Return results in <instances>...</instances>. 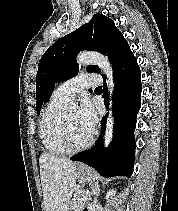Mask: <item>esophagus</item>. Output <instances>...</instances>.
I'll return each instance as SVG.
<instances>
[{
  "instance_id": "34e87169",
  "label": "esophagus",
  "mask_w": 178,
  "mask_h": 211,
  "mask_svg": "<svg viewBox=\"0 0 178 211\" xmlns=\"http://www.w3.org/2000/svg\"><path fill=\"white\" fill-rule=\"evenodd\" d=\"M78 167H79V168L84 167V164L79 163V164H78Z\"/></svg>"
}]
</instances>
